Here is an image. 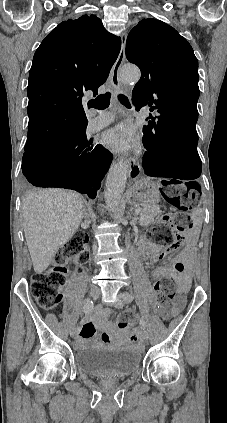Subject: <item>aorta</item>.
Instances as JSON below:
<instances>
[{
    "instance_id": "aorta-1",
    "label": "aorta",
    "mask_w": 227,
    "mask_h": 423,
    "mask_svg": "<svg viewBox=\"0 0 227 423\" xmlns=\"http://www.w3.org/2000/svg\"><path fill=\"white\" fill-rule=\"evenodd\" d=\"M140 79V71L134 66H125L122 70V80L125 83L137 82ZM127 163L118 161L109 169L105 186V201L112 213H116L120 199L125 189L127 180Z\"/></svg>"
}]
</instances>
